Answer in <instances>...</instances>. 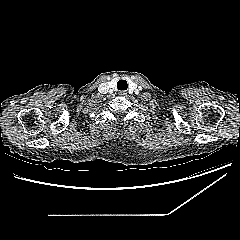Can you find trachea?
<instances>
[{
    "mask_svg": "<svg viewBox=\"0 0 240 240\" xmlns=\"http://www.w3.org/2000/svg\"><path fill=\"white\" fill-rule=\"evenodd\" d=\"M118 83H119L120 87H121V85H124V88H125V89H122V90H126V88H127V83H126V81L120 80Z\"/></svg>",
    "mask_w": 240,
    "mask_h": 240,
    "instance_id": "3493384b",
    "label": "trachea"
}]
</instances>
